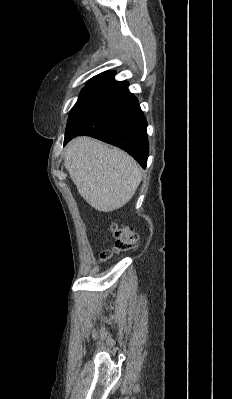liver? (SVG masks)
Wrapping results in <instances>:
<instances>
[{"label": "liver", "instance_id": "obj_1", "mask_svg": "<svg viewBox=\"0 0 232 399\" xmlns=\"http://www.w3.org/2000/svg\"><path fill=\"white\" fill-rule=\"evenodd\" d=\"M64 166L80 196L98 211L125 205L142 178L137 162L126 152L86 136L67 144Z\"/></svg>", "mask_w": 232, "mask_h": 399}]
</instances>
